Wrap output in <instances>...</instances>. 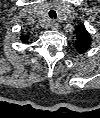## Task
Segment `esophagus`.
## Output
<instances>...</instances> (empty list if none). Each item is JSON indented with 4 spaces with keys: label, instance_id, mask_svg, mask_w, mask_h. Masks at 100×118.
Here are the masks:
<instances>
[{
    "label": "esophagus",
    "instance_id": "obj_1",
    "mask_svg": "<svg viewBox=\"0 0 100 118\" xmlns=\"http://www.w3.org/2000/svg\"><path fill=\"white\" fill-rule=\"evenodd\" d=\"M50 28H51L52 30H57V29L59 28V25H58V23H56L55 21H52V22L50 23Z\"/></svg>",
    "mask_w": 100,
    "mask_h": 118
}]
</instances>
